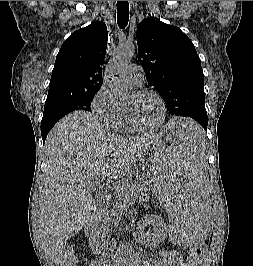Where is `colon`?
Segmentation results:
<instances>
[{"label":"colon","instance_id":"colon-1","mask_svg":"<svg viewBox=\"0 0 253 266\" xmlns=\"http://www.w3.org/2000/svg\"><path fill=\"white\" fill-rule=\"evenodd\" d=\"M207 250V242H204L203 248H192L189 254L188 263H195L202 259ZM61 266H77L78 259L74 251H66L61 259Z\"/></svg>","mask_w":253,"mask_h":266}]
</instances>
